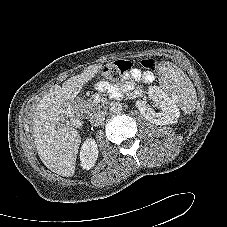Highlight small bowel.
Returning a JSON list of instances; mask_svg holds the SVG:
<instances>
[{
	"mask_svg": "<svg viewBox=\"0 0 227 227\" xmlns=\"http://www.w3.org/2000/svg\"><path fill=\"white\" fill-rule=\"evenodd\" d=\"M132 76L136 80H144L146 82H150V81L153 80V76L152 75L149 76V78H147L144 74H141V72L138 69L133 70ZM104 87H105L104 84H99V88L100 89H103Z\"/></svg>",
	"mask_w": 227,
	"mask_h": 227,
	"instance_id": "obj_1",
	"label": "small bowel"
}]
</instances>
